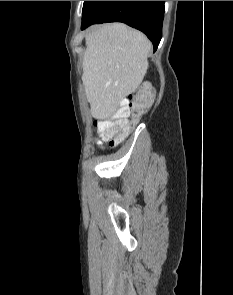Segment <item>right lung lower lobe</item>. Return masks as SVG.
Masks as SVG:
<instances>
[{
	"label": "right lung lower lobe",
	"mask_w": 233,
	"mask_h": 295,
	"mask_svg": "<svg viewBox=\"0 0 233 295\" xmlns=\"http://www.w3.org/2000/svg\"><path fill=\"white\" fill-rule=\"evenodd\" d=\"M164 1H90L81 29L91 24L123 22L147 35L156 51L162 37Z\"/></svg>",
	"instance_id": "98d812e1"
}]
</instances>
